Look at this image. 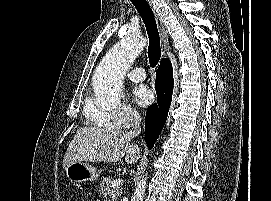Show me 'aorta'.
I'll list each match as a JSON object with an SVG mask.
<instances>
[{
    "mask_svg": "<svg viewBox=\"0 0 271 201\" xmlns=\"http://www.w3.org/2000/svg\"><path fill=\"white\" fill-rule=\"evenodd\" d=\"M146 39L139 35L130 34L122 38L105 55L96 69L94 93L102 105L115 106L123 98L122 80L143 48ZM147 186V174L137 183L131 201H143Z\"/></svg>",
    "mask_w": 271,
    "mask_h": 201,
    "instance_id": "obj_1",
    "label": "aorta"
}]
</instances>
